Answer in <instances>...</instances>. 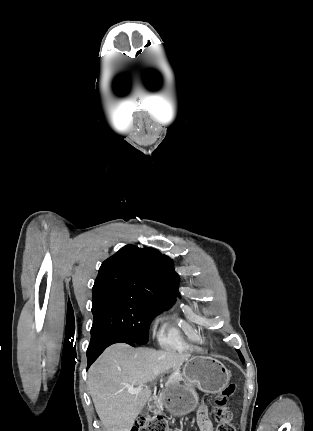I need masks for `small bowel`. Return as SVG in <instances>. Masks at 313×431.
<instances>
[{"instance_id": "obj_1", "label": "small bowel", "mask_w": 313, "mask_h": 431, "mask_svg": "<svg viewBox=\"0 0 313 431\" xmlns=\"http://www.w3.org/2000/svg\"><path fill=\"white\" fill-rule=\"evenodd\" d=\"M198 424L201 431H213V425L208 416L207 408L204 403H202L199 407Z\"/></svg>"}]
</instances>
